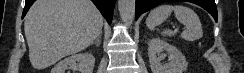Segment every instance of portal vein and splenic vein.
Listing matches in <instances>:
<instances>
[{
    "mask_svg": "<svg viewBox=\"0 0 244 73\" xmlns=\"http://www.w3.org/2000/svg\"><path fill=\"white\" fill-rule=\"evenodd\" d=\"M178 31H179V29H178V28H176V29L174 30V32H175V33H177Z\"/></svg>",
    "mask_w": 244,
    "mask_h": 73,
    "instance_id": "obj_1",
    "label": "portal vein and splenic vein"
}]
</instances>
